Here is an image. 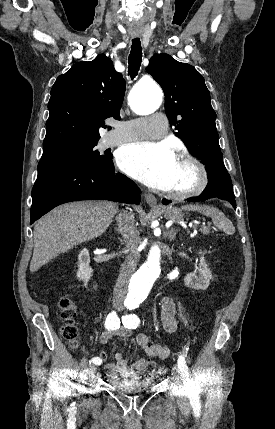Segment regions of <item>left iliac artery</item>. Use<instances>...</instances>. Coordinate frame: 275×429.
Segmentation results:
<instances>
[{
    "label": "left iliac artery",
    "instance_id": "obj_1",
    "mask_svg": "<svg viewBox=\"0 0 275 429\" xmlns=\"http://www.w3.org/2000/svg\"><path fill=\"white\" fill-rule=\"evenodd\" d=\"M128 308H129V310L134 309V307H131V306H128ZM122 323L128 329H136L140 324V319L135 314H127V315L122 317ZM187 350H188V348L186 347V350L178 358V362H177L178 363V369H179V373L182 376L183 380L187 384L191 385V391L189 394L191 404L194 407H198L199 406L198 392L192 386V382H191L190 376H189V370H188V367L186 365V360H185Z\"/></svg>",
    "mask_w": 275,
    "mask_h": 429
}]
</instances>
